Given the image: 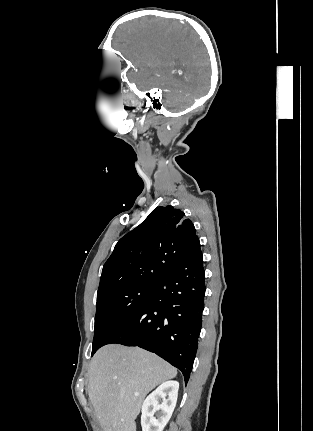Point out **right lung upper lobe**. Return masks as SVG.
I'll list each match as a JSON object with an SVG mask.
<instances>
[{
	"label": "right lung upper lobe",
	"instance_id": "obj_1",
	"mask_svg": "<svg viewBox=\"0 0 313 431\" xmlns=\"http://www.w3.org/2000/svg\"><path fill=\"white\" fill-rule=\"evenodd\" d=\"M197 239L184 212L173 206L156 207L116 244L103 266L97 299L125 288L158 285Z\"/></svg>",
	"mask_w": 313,
	"mask_h": 431
}]
</instances>
